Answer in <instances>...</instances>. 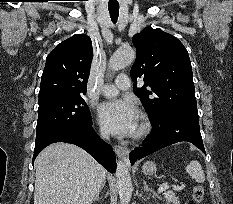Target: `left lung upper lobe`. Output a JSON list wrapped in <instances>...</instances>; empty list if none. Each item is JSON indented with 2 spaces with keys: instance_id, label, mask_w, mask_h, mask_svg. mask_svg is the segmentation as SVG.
I'll return each instance as SVG.
<instances>
[{
  "instance_id": "left-lung-upper-lobe-1",
  "label": "left lung upper lobe",
  "mask_w": 233,
  "mask_h": 204,
  "mask_svg": "<svg viewBox=\"0 0 233 204\" xmlns=\"http://www.w3.org/2000/svg\"><path fill=\"white\" fill-rule=\"evenodd\" d=\"M137 57L131 68L134 81L145 84L134 92L151 119L169 113L198 115L188 52L174 36L147 27L133 36Z\"/></svg>"
}]
</instances>
